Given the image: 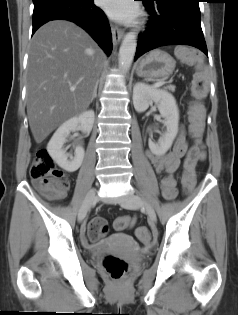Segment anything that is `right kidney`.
Instances as JSON below:
<instances>
[{
	"label": "right kidney",
	"instance_id": "right-kidney-1",
	"mask_svg": "<svg viewBox=\"0 0 238 315\" xmlns=\"http://www.w3.org/2000/svg\"><path fill=\"white\" fill-rule=\"evenodd\" d=\"M95 120L93 110L85 111L78 116H75L64 122L54 133L47 145V151L51 158L58 164L59 167L67 172H75L78 170L84 159V148L77 146L74 156L66 153L63 148L66 138L71 131H75L78 127L86 134L92 130Z\"/></svg>",
	"mask_w": 238,
	"mask_h": 315
}]
</instances>
